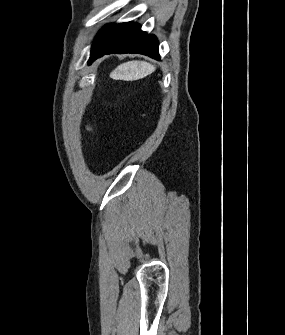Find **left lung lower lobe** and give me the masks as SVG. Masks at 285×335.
I'll use <instances>...</instances> for the list:
<instances>
[{"label":"left lung lower lobe","instance_id":"obj_1","mask_svg":"<svg viewBox=\"0 0 285 335\" xmlns=\"http://www.w3.org/2000/svg\"><path fill=\"white\" fill-rule=\"evenodd\" d=\"M159 44L154 35L141 31L137 23L127 22L103 28L94 40L89 64L110 53H141L159 57Z\"/></svg>","mask_w":285,"mask_h":335}]
</instances>
